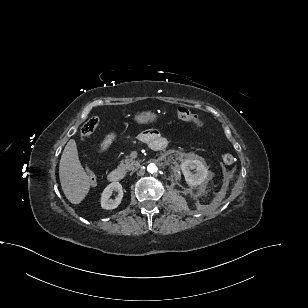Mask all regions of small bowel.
Listing matches in <instances>:
<instances>
[{
    "label": "small bowel",
    "instance_id": "1",
    "mask_svg": "<svg viewBox=\"0 0 308 308\" xmlns=\"http://www.w3.org/2000/svg\"><path fill=\"white\" fill-rule=\"evenodd\" d=\"M114 139V135L111 134L109 136H107L101 143L100 145V152L103 153L109 146L110 144L112 143ZM139 139L140 141L144 142V143H147L151 146L152 142L156 139H161V136L159 134V132L157 130H154V129H149V130H146V131H143L142 133H140L139 135Z\"/></svg>",
    "mask_w": 308,
    "mask_h": 308
}]
</instances>
